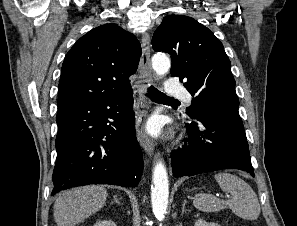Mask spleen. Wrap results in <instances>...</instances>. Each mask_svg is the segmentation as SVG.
Listing matches in <instances>:
<instances>
[{
    "mask_svg": "<svg viewBox=\"0 0 297 226\" xmlns=\"http://www.w3.org/2000/svg\"><path fill=\"white\" fill-rule=\"evenodd\" d=\"M215 179L220 188L230 193L231 198L222 201L212 194H198L193 199L194 206L203 212H217L229 208L238 217L253 221L260 215V204L251 186L231 173H217Z\"/></svg>",
    "mask_w": 297,
    "mask_h": 226,
    "instance_id": "3e777b00",
    "label": "spleen"
}]
</instances>
